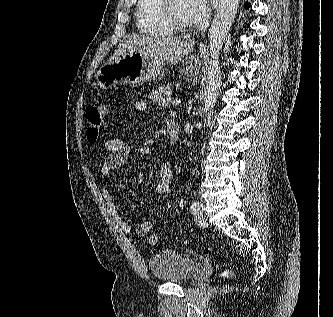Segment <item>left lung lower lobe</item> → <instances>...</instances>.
Here are the masks:
<instances>
[{"label": "left lung lower lobe", "instance_id": "1", "mask_svg": "<svg viewBox=\"0 0 333 317\" xmlns=\"http://www.w3.org/2000/svg\"><path fill=\"white\" fill-rule=\"evenodd\" d=\"M250 6H251L250 3H246V4H245V8H246V9H249Z\"/></svg>", "mask_w": 333, "mask_h": 317}]
</instances>
